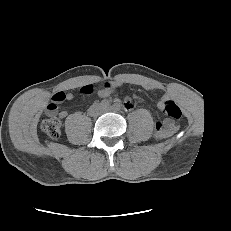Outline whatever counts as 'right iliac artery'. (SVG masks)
<instances>
[{
	"instance_id": "1",
	"label": "right iliac artery",
	"mask_w": 231,
	"mask_h": 231,
	"mask_svg": "<svg viewBox=\"0 0 231 231\" xmlns=\"http://www.w3.org/2000/svg\"><path fill=\"white\" fill-rule=\"evenodd\" d=\"M108 105H109L108 102L103 103V106H105V107L108 106Z\"/></svg>"
}]
</instances>
